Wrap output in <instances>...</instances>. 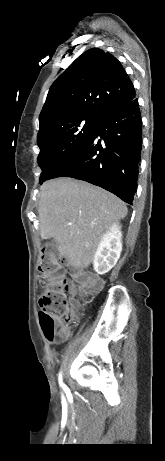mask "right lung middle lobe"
<instances>
[{"label":"right lung middle lobe","mask_w":165,"mask_h":461,"mask_svg":"<svg viewBox=\"0 0 165 461\" xmlns=\"http://www.w3.org/2000/svg\"><path fill=\"white\" fill-rule=\"evenodd\" d=\"M98 122L99 118L92 116L74 117L53 124L37 136L40 183L49 179L89 139Z\"/></svg>","instance_id":"dd1d6c3e"}]
</instances>
